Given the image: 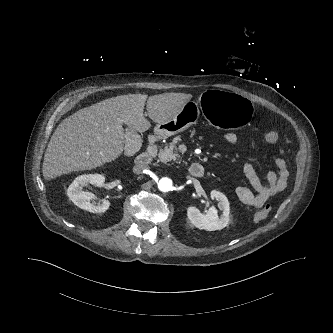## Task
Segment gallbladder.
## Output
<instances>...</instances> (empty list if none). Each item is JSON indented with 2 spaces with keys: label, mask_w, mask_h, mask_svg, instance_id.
Here are the masks:
<instances>
[{
  "label": "gallbladder",
  "mask_w": 333,
  "mask_h": 333,
  "mask_svg": "<svg viewBox=\"0 0 333 333\" xmlns=\"http://www.w3.org/2000/svg\"><path fill=\"white\" fill-rule=\"evenodd\" d=\"M133 145L135 149H139L141 145L140 136L131 128L126 130V147Z\"/></svg>",
  "instance_id": "obj_1"
}]
</instances>
